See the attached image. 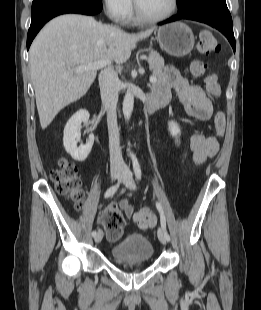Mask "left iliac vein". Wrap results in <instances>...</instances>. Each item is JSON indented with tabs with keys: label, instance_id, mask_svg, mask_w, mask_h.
Listing matches in <instances>:
<instances>
[{
	"label": "left iliac vein",
	"instance_id": "4c4485c4",
	"mask_svg": "<svg viewBox=\"0 0 261 310\" xmlns=\"http://www.w3.org/2000/svg\"><path fill=\"white\" fill-rule=\"evenodd\" d=\"M121 178L123 179L124 185L128 189H130V190H134L135 189L136 186H135V182L133 180L132 172L130 171V169L127 166H125L123 168ZM157 234H158V239L160 240V242L162 244H166L168 242V240L166 239L165 233H164L162 228L158 229Z\"/></svg>",
	"mask_w": 261,
	"mask_h": 310
}]
</instances>
